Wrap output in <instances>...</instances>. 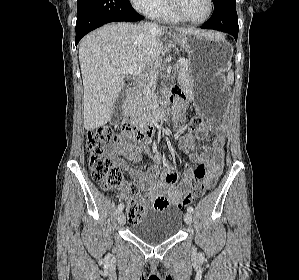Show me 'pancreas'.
I'll list each match as a JSON object with an SVG mask.
<instances>
[{
    "mask_svg": "<svg viewBox=\"0 0 299 280\" xmlns=\"http://www.w3.org/2000/svg\"><path fill=\"white\" fill-rule=\"evenodd\" d=\"M179 82L185 89H191V78L188 73V64H184L179 72ZM156 93L154 88L149 86L143 95H138L129 106V114L133 122L137 125H143L149 122L150 114L156 109Z\"/></svg>",
    "mask_w": 299,
    "mask_h": 280,
    "instance_id": "pancreas-1",
    "label": "pancreas"
}]
</instances>
